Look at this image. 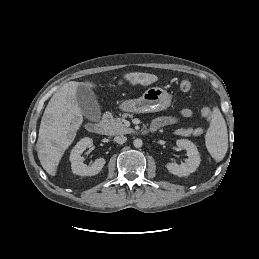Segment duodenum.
I'll return each mask as SVG.
<instances>
[{
  "mask_svg": "<svg viewBox=\"0 0 259 259\" xmlns=\"http://www.w3.org/2000/svg\"><path fill=\"white\" fill-rule=\"evenodd\" d=\"M86 129L92 134L102 135L105 133V126L101 122H89L86 125ZM148 130L150 132H155L157 128L151 125Z\"/></svg>",
  "mask_w": 259,
  "mask_h": 259,
  "instance_id": "1",
  "label": "duodenum"
}]
</instances>
